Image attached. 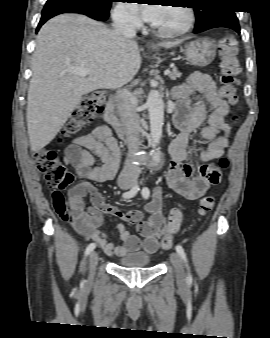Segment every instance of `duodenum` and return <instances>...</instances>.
Listing matches in <instances>:
<instances>
[{"label": "duodenum", "mask_w": 270, "mask_h": 338, "mask_svg": "<svg viewBox=\"0 0 270 338\" xmlns=\"http://www.w3.org/2000/svg\"><path fill=\"white\" fill-rule=\"evenodd\" d=\"M118 107L116 100L113 97L110 102L105 105V108L102 112L103 119L115 129L118 136H122L121 123L117 116Z\"/></svg>", "instance_id": "410a0bca"}]
</instances>
